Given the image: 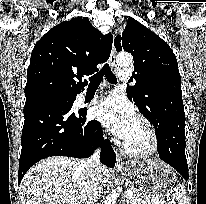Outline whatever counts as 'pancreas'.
I'll return each mask as SVG.
<instances>
[{
  "label": "pancreas",
  "mask_w": 206,
  "mask_h": 204,
  "mask_svg": "<svg viewBox=\"0 0 206 204\" xmlns=\"http://www.w3.org/2000/svg\"><path fill=\"white\" fill-rule=\"evenodd\" d=\"M129 189L132 190L134 194L133 196L128 197V204H148L142 199L141 195L137 193L133 188Z\"/></svg>",
  "instance_id": "1"
}]
</instances>
